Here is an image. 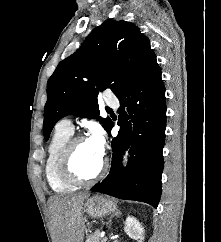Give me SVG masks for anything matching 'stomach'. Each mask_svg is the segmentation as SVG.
Wrapping results in <instances>:
<instances>
[{"instance_id": "0dacf381", "label": "stomach", "mask_w": 221, "mask_h": 242, "mask_svg": "<svg viewBox=\"0 0 221 242\" xmlns=\"http://www.w3.org/2000/svg\"><path fill=\"white\" fill-rule=\"evenodd\" d=\"M116 209V202L102 195H93L87 198L83 207V211L92 218L103 217L114 212Z\"/></svg>"}]
</instances>
